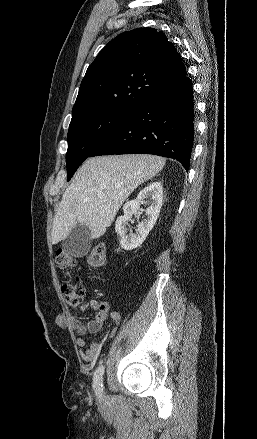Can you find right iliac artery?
I'll list each match as a JSON object with an SVG mask.
<instances>
[{
    "instance_id": "right-iliac-artery-1",
    "label": "right iliac artery",
    "mask_w": 257,
    "mask_h": 439,
    "mask_svg": "<svg viewBox=\"0 0 257 439\" xmlns=\"http://www.w3.org/2000/svg\"><path fill=\"white\" fill-rule=\"evenodd\" d=\"M103 374H104V367L103 365H100L95 373H94V377H93V388L95 390L96 396L99 399H103Z\"/></svg>"
}]
</instances>
